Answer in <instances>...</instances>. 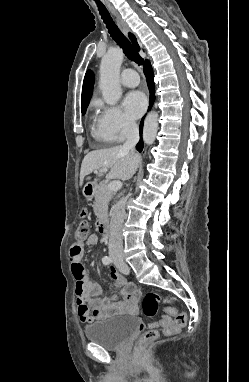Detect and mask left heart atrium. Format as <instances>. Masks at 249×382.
<instances>
[{"label": "left heart atrium", "instance_id": "39dd6f15", "mask_svg": "<svg viewBox=\"0 0 249 382\" xmlns=\"http://www.w3.org/2000/svg\"><path fill=\"white\" fill-rule=\"evenodd\" d=\"M123 106L126 113L131 118L136 119L145 111L147 99L141 91H131L124 98Z\"/></svg>", "mask_w": 249, "mask_h": 382}]
</instances>
